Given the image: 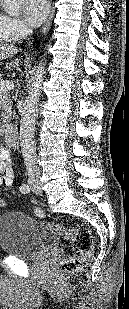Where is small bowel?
Instances as JSON below:
<instances>
[{"label":"small bowel","mask_w":129,"mask_h":309,"mask_svg":"<svg viewBox=\"0 0 129 309\" xmlns=\"http://www.w3.org/2000/svg\"><path fill=\"white\" fill-rule=\"evenodd\" d=\"M14 180L13 163L10 151L0 147V187L11 186Z\"/></svg>","instance_id":"c3829d8e"}]
</instances>
